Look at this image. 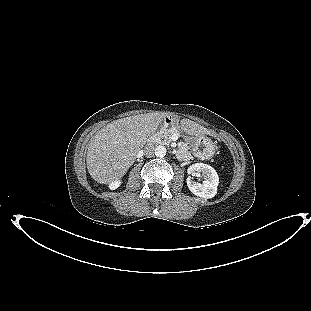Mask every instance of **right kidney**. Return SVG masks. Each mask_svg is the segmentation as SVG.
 Returning <instances> with one entry per match:
<instances>
[{
  "mask_svg": "<svg viewBox=\"0 0 311 311\" xmlns=\"http://www.w3.org/2000/svg\"><path fill=\"white\" fill-rule=\"evenodd\" d=\"M121 182L119 180L110 183V189L114 190L120 186Z\"/></svg>",
  "mask_w": 311,
  "mask_h": 311,
  "instance_id": "right-kidney-1",
  "label": "right kidney"
}]
</instances>
